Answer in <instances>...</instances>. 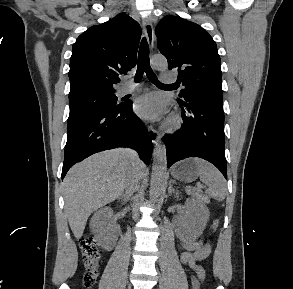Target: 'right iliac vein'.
I'll return each mask as SVG.
<instances>
[{
  "instance_id": "obj_1",
  "label": "right iliac vein",
  "mask_w": 293,
  "mask_h": 289,
  "mask_svg": "<svg viewBox=\"0 0 293 289\" xmlns=\"http://www.w3.org/2000/svg\"><path fill=\"white\" fill-rule=\"evenodd\" d=\"M127 289H131V285H128Z\"/></svg>"
}]
</instances>
